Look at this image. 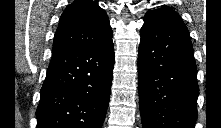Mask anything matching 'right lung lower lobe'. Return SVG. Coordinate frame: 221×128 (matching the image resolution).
Segmentation results:
<instances>
[{
  "label": "right lung lower lobe",
  "mask_w": 221,
  "mask_h": 128,
  "mask_svg": "<svg viewBox=\"0 0 221 128\" xmlns=\"http://www.w3.org/2000/svg\"><path fill=\"white\" fill-rule=\"evenodd\" d=\"M113 67L112 38L103 46L53 53L36 111L37 128H101Z\"/></svg>",
  "instance_id": "98d812e1"
}]
</instances>
